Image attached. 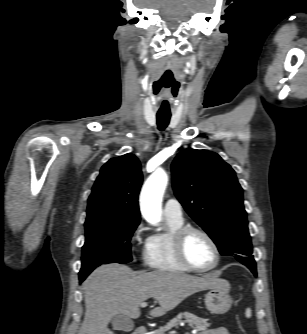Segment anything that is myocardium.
<instances>
[{"mask_svg":"<svg viewBox=\"0 0 307 334\" xmlns=\"http://www.w3.org/2000/svg\"><path fill=\"white\" fill-rule=\"evenodd\" d=\"M194 233L200 234L203 237H205L214 249L215 260L214 263L209 267L205 268L197 267L188 258L186 252V243L190 235ZM173 249L181 265H183L185 268L191 271L208 272L215 269L220 263L221 251L217 242L206 230L199 227L188 225V226H182L181 228L177 229L173 234Z\"/></svg>","mask_w":307,"mask_h":334,"instance_id":"1","label":"myocardium"}]
</instances>
